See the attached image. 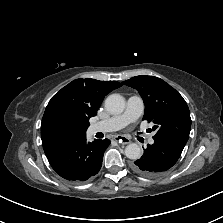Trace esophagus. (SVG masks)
<instances>
[{"label":"esophagus","instance_id":"34e87169","mask_svg":"<svg viewBox=\"0 0 223 223\" xmlns=\"http://www.w3.org/2000/svg\"><path fill=\"white\" fill-rule=\"evenodd\" d=\"M114 140L117 141L120 144H123V145H126V144L130 143V139L127 138L126 136H123V135H116L114 137Z\"/></svg>","mask_w":223,"mask_h":223}]
</instances>
